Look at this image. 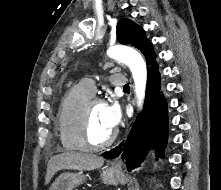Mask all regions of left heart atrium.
<instances>
[{
  "label": "left heart atrium",
  "mask_w": 221,
  "mask_h": 190,
  "mask_svg": "<svg viewBox=\"0 0 221 190\" xmlns=\"http://www.w3.org/2000/svg\"><path fill=\"white\" fill-rule=\"evenodd\" d=\"M104 115L108 127L114 130L120 123L121 119V112L117 103L112 102L104 104Z\"/></svg>",
  "instance_id": "obj_1"
}]
</instances>
